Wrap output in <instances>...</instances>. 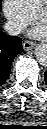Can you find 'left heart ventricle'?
<instances>
[{"label": "left heart ventricle", "instance_id": "obj_1", "mask_svg": "<svg viewBox=\"0 0 47 129\" xmlns=\"http://www.w3.org/2000/svg\"><path fill=\"white\" fill-rule=\"evenodd\" d=\"M39 22H40L41 25L45 26V24H46V18L44 16H42L40 18Z\"/></svg>", "mask_w": 47, "mask_h": 129}]
</instances>
